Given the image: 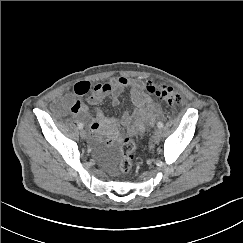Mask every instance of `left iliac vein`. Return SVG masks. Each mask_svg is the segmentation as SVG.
<instances>
[{
    "mask_svg": "<svg viewBox=\"0 0 243 243\" xmlns=\"http://www.w3.org/2000/svg\"><path fill=\"white\" fill-rule=\"evenodd\" d=\"M161 134H162L161 129L157 128L154 131V134H153V137H152L153 142H158L160 140Z\"/></svg>",
    "mask_w": 243,
    "mask_h": 243,
    "instance_id": "left-iliac-vein-1",
    "label": "left iliac vein"
}]
</instances>
